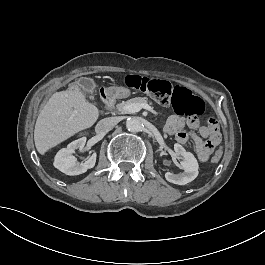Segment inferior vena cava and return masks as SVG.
Segmentation results:
<instances>
[{
    "mask_svg": "<svg viewBox=\"0 0 265 265\" xmlns=\"http://www.w3.org/2000/svg\"><path fill=\"white\" fill-rule=\"evenodd\" d=\"M116 125V119L113 117H108L100 120L96 127L95 132L97 134L105 135L108 131H110Z\"/></svg>",
    "mask_w": 265,
    "mask_h": 265,
    "instance_id": "602c4592",
    "label": "inferior vena cava"
}]
</instances>
